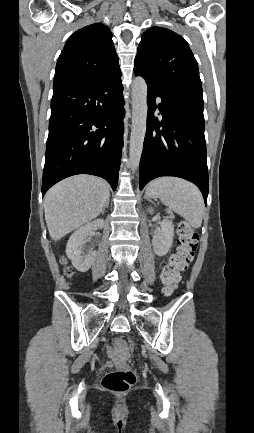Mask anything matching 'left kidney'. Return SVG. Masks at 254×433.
Segmentation results:
<instances>
[{"label":"left kidney","mask_w":254,"mask_h":433,"mask_svg":"<svg viewBox=\"0 0 254 433\" xmlns=\"http://www.w3.org/2000/svg\"><path fill=\"white\" fill-rule=\"evenodd\" d=\"M152 208H148L149 213H153ZM161 230L158 234H156L152 239V245L154 252L158 256H164L170 250L173 243L174 236V226L171 221L168 219H164L161 222Z\"/></svg>","instance_id":"left-kidney-1"}]
</instances>
